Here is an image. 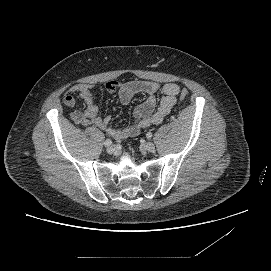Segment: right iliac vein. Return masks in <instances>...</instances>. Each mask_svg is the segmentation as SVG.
<instances>
[{
    "label": "right iliac vein",
    "mask_w": 271,
    "mask_h": 271,
    "mask_svg": "<svg viewBox=\"0 0 271 271\" xmlns=\"http://www.w3.org/2000/svg\"><path fill=\"white\" fill-rule=\"evenodd\" d=\"M115 151H116V147H115L114 145L108 146L107 152H108L109 154H114Z\"/></svg>",
    "instance_id": "63e3f726"
}]
</instances>
